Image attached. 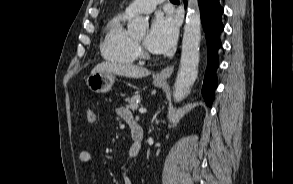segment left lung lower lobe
<instances>
[{"label":"left lung lower lobe","mask_w":293,"mask_h":184,"mask_svg":"<svg viewBox=\"0 0 293 184\" xmlns=\"http://www.w3.org/2000/svg\"><path fill=\"white\" fill-rule=\"evenodd\" d=\"M201 20L204 26L207 41L208 65L202 86V96L207 105L214 100V91L217 87L216 69L219 65L217 51L221 47L220 33L224 26L221 22L223 8L219 0H198Z\"/></svg>","instance_id":"0a47b994"}]
</instances>
